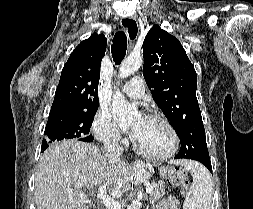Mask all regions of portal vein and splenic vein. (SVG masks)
Returning <instances> with one entry per match:
<instances>
[{
  "label": "portal vein and splenic vein",
  "mask_w": 253,
  "mask_h": 209,
  "mask_svg": "<svg viewBox=\"0 0 253 209\" xmlns=\"http://www.w3.org/2000/svg\"><path fill=\"white\" fill-rule=\"evenodd\" d=\"M152 190H153V186L148 185L146 188V193L150 194L152 192ZM96 194H97V198L102 200V202L107 207V209H120L121 208V205L107 194L105 186H100Z\"/></svg>",
  "instance_id": "obj_1"
}]
</instances>
